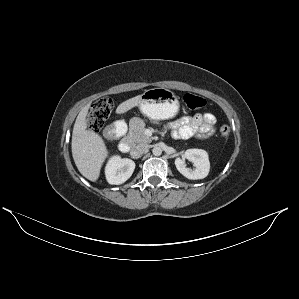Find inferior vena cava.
<instances>
[{"label":"inferior vena cava","mask_w":299,"mask_h":299,"mask_svg":"<svg viewBox=\"0 0 299 299\" xmlns=\"http://www.w3.org/2000/svg\"><path fill=\"white\" fill-rule=\"evenodd\" d=\"M149 146L147 144H138L131 150L132 156H140L147 152Z\"/></svg>","instance_id":"inferior-vena-cava-1"}]
</instances>
